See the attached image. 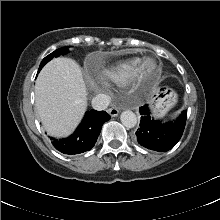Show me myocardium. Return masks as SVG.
Instances as JSON below:
<instances>
[{"label":"myocardium","mask_w":220,"mask_h":220,"mask_svg":"<svg viewBox=\"0 0 220 220\" xmlns=\"http://www.w3.org/2000/svg\"><path fill=\"white\" fill-rule=\"evenodd\" d=\"M153 61L154 62V66L156 67V60L152 57H145L142 61H140L138 68L136 69V74L140 77V78H145L150 72L151 70L146 68V63L148 61Z\"/></svg>","instance_id":"obj_1"}]
</instances>
